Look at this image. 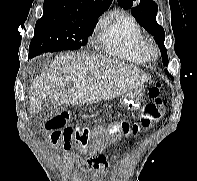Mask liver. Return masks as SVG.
<instances>
[{"label": "liver", "mask_w": 197, "mask_h": 181, "mask_svg": "<svg viewBox=\"0 0 197 181\" xmlns=\"http://www.w3.org/2000/svg\"><path fill=\"white\" fill-rule=\"evenodd\" d=\"M150 80L133 65L110 57L85 53L61 54L31 87L30 111L42 110L44 100L55 106L85 105L112 100ZM69 82L73 86L66 90Z\"/></svg>", "instance_id": "liver-1"}]
</instances>
